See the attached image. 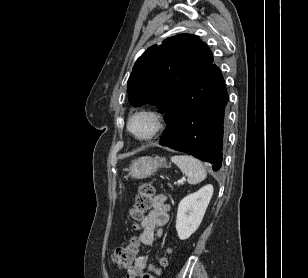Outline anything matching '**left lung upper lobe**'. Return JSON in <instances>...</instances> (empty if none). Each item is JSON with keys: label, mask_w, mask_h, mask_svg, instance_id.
<instances>
[{"label": "left lung upper lobe", "mask_w": 308, "mask_h": 278, "mask_svg": "<svg viewBox=\"0 0 308 278\" xmlns=\"http://www.w3.org/2000/svg\"><path fill=\"white\" fill-rule=\"evenodd\" d=\"M212 64V52L199 37H169L136 61L127 83L129 102L134 107L151 104L165 113L187 84Z\"/></svg>", "instance_id": "5c2ea615"}]
</instances>
